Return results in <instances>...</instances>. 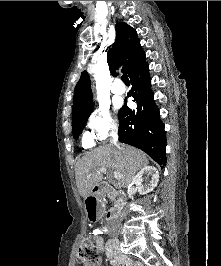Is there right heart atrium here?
I'll list each match as a JSON object with an SVG mask.
<instances>
[{"mask_svg": "<svg viewBox=\"0 0 221 266\" xmlns=\"http://www.w3.org/2000/svg\"><path fill=\"white\" fill-rule=\"evenodd\" d=\"M87 124L92 132L89 136H94L99 140H106L118 131V125L106 106L94 109L89 114Z\"/></svg>", "mask_w": 221, "mask_h": 266, "instance_id": "right-heart-atrium-1", "label": "right heart atrium"}]
</instances>
